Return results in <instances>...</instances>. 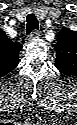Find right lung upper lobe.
<instances>
[{
  "instance_id": "1",
  "label": "right lung upper lobe",
  "mask_w": 77,
  "mask_h": 125,
  "mask_svg": "<svg viewBox=\"0 0 77 125\" xmlns=\"http://www.w3.org/2000/svg\"><path fill=\"white\" fill-rule=\"evenodd\" d=\"M21 48L22 45L12 42L4 32H0V75H6L17 67Z\"/></svg>"
}]
</instances>
